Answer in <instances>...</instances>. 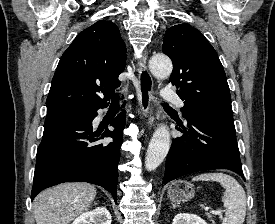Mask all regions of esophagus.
Segmentation results:
<instances>
[{
    "mask_svg": "<svg viewBox=\"0 0 275 224\" xmlns=\"http://www.w3.org/2000/svg\"><path fill=\"white\" fill-rule=\"evenodd\" d=\"M147 51L137 62L138 70V113L139 115L148 116L152 100L153 79L147 66Z\"/></svg>",
    "mask_w": 275,
    "mask_h": 224,
    "instance_id": "esophagus-1",
    "label": "esophagus"
}]
</instances>
